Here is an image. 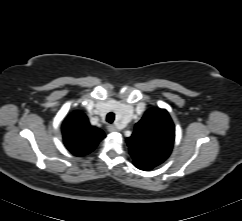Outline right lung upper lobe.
I'll list each match as a JSON object with an SVG mask.
<instances>
[{"instance_id":"obj_1","label":"right lung upper lobe","mask_w":242,"mask_h":221,"mask_svg":"<svg viewBox=\"0 0 242 221\" xmlns=\"http://www.w3.org/2000/svg\"><path fill=\"white\" fill-rule=\"evenodd\" d=\"M63 141L67 149L76 156L92 152L105 137L104 132L90 126L84 113L75 111L62 124Z\"/></svg>"}]
</instances>
